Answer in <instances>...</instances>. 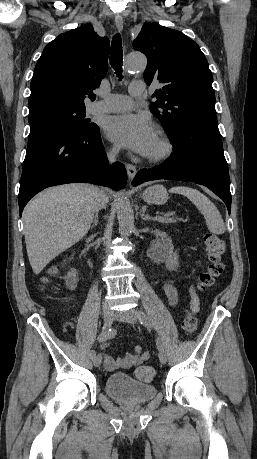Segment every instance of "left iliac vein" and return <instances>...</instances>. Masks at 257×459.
<instances>
[{"mask_svg": "<svg viewBox=\"0 0 257 459\" xmlns=\"http://www.w3.org/2000/svg\"><path fill=\"white\" fill-rule=\"evenodd\" d=\"M115 319L120 322L136 323L139 319V312L134 309L125 312H119L115 314ZM159 360L162 364L167 362V355L163 349L159 351Z\"/></svg>", "mask_w": 257, "mask_h": 459, "instance_id": "4c4485c4", "label": "left iliac vein"}]
</instances>
